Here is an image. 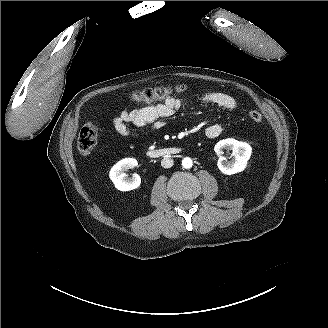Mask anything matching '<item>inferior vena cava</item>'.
Here are the masks:
<instances>
[{
	"label": "inferior vena cava",
	"mask_w": 328,
	"mask_h": 328,
	"mask_svg": "<svg viewBox=\"0 0 328 328\" xmlns=\"http://www.w3.org/2000/svg\"><path fill=\"white\" fill-rule=\"evenodd\" d=\"M173 160L171 158H164L161 160V166L163 168H171L173 166Z\"/></svg>",
	"instance_id": "obj_1"
}]
</instances>
